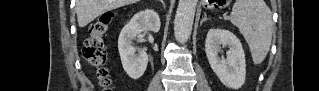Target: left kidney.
I'll return each mask as SVG.
<instances>
[{
	"mask_svg": "<svg viewBox=\"0 0 319 91\" xmlns=\"http://www.w3.org/2000/svg\"><path fill=\"white\" fill-rule=\"evenodd\" d=\"M221 46L229 48L226 58L219 57ZM205 52L212 70L225 86L238 89L244 84L245 54L235 34L225 29H210L205 41Z\"/></svg>",
	"mask_w": 319,
	"mask_h": 91,
	"instance_id": "left-kidney-1",
	"label": "left kidney"
}]
</instances>
